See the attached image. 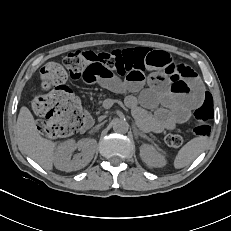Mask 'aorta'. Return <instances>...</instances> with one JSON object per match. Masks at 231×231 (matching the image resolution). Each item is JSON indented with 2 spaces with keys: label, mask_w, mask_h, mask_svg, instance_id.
Here are the masks:
<instances>
[{
  "label": "aorta",
  "mask_w": 231,
  "mask_h": 231,
  "mask_svg": "<svg viewBox=\"0 0 231 231\" xmlns=\"http://www.w3.org/2000/svg\"><path fill=\"white\" fill-rule=\"evenodd\" d=\"M112 125H113V130L116 133L124 134L128 132L129 124L126 120L115 119Z\"/></svg>",
  "instance_id": "1"
}]
</instances>
